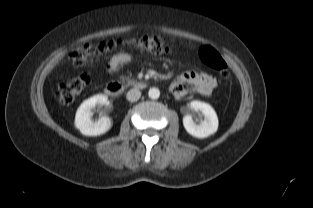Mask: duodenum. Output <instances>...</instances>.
<instances>
[{"label":"duodenum","instance_id":"410a0bca","mask_svg":"<svg viewBox=\"0 0 313 208\" xmlns=\"http://www.w3.org/2000/svg\"><path fill=\"white\" fill-rule=\"evenodd\" d=\"M127 87L143 89L145 87V83L143 81H135L129 84H125L118 81H111L105 86V92L111 97H119L123 94Z\"/></svg>","mask_w":313,"mask_h":208}]
</instances>
